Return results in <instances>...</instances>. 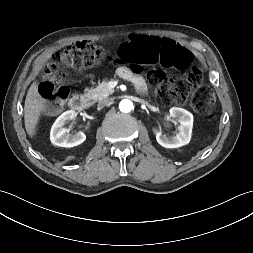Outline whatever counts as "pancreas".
I'll use <instances>...</instances> for the list:
<instances>
[{
  "instance_id": "cf45deb5",
  "label": "pancreas",
  "mask_w": 253,
  "mask_h": 253,
  "mask_svg": "<svg viewBox=\"0 0 253 253\" xmlns=\"http://www.w3.org/2000/svg\"><path fill=\"white\" fill-rule=\"evenodd\" d=\"M114 92V89L108 86V82L104 80L96 88H90L85 90V96L92 102H97L101 99L107 98Z\"/></svg>"
}]
</instances>
